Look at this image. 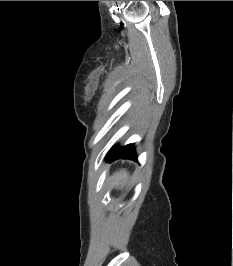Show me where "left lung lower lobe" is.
<instances>
[{"mask_svg":"<svg viewBox=\"0 0 233 266\" xmlns=\"http://www.w3.org/2000/svg\"><path fill=\"white\" fill-rule=\"evenodd\" d=\"M107 158L109 162L120 158L137 160L134 144H129L117 149L113 147L108 153Z\"/></svg>","mask_w":233,"mask_h":266,"instance_id":"left-lung-lower-lobe-1","label":"left lung lower lobe"}]
</instances>
